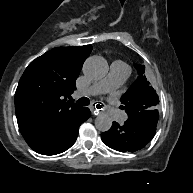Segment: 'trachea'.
Returning a JSON list of instances; mask_svg holds the SVG:
<instances>
[{
  "label": "trachea",
  "mask_w": 193,
  "mask_h": 193,
  "mask_svg": "<svg viewBox=\"0 0 193 193\" xmlns=\"http://www.w3.org/2000/svg\"><path fill=\"white\" fill-rule=\"evenodd\" d=\"M76 102L81 106H87V105H89L90 100L87 97H82V98L76 100ZM100 104H102V103H100ZM96 107H97V109H101V108H103V105L97 104Z\"/></svg>",
  "instance_id": "trachea-1"
}]
</instances>
